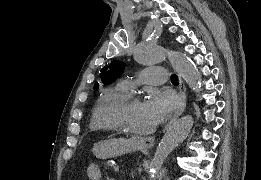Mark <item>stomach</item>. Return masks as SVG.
I'll return each mask as SVG.
<instances>
[{"label": "stomach", "instance_id": "obj_1", "mask_svg": "<svg viewBox=\"0 0 261 180\" xmlns=\"http://www.w3.org/2000/svg\"><path fill=\"white\" fill-rule=\"evenodd\" d=\"M139 149L134 139L112 138L94 144L93 154L99 159L121 156Z\"/></svg>", "mask_w": 261, "mask_h": 180}]
</instances>
